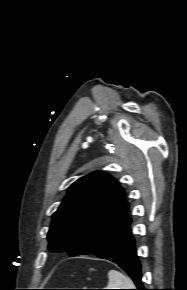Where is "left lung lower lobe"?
I'll return each mask as SVG.
<instances>
[{"mask_svg":"<svg viewBox=\"0 0 187 290\" xmlns=\"http://www.w3.org/2000/svg\"><path fill=\"white\" fill-rule=\"evenodd\" d=\"M130 225L131 219L126 216L106 241L92 254L118 264L132 278L137 290H146L141 280V265L137 259Z\"/></svg>","mask_w":187,"mask_h":290,"instance_id":"0a47b994","label":"left lung lower lobe"}]
</instances>
